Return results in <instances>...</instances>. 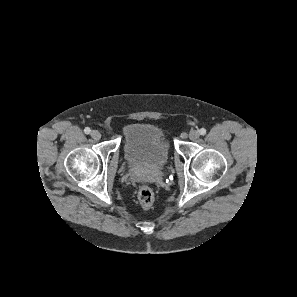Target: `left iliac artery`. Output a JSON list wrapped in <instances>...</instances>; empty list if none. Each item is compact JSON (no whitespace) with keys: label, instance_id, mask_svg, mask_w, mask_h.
I'll return each instance as SVG.
<instances>
[{"label":"left iliac artery","instance_id":"obj_1","mask_svg":"<svg viewBox=\"0 0 297 297\" xmlns=\"http://www.w3.org/2000/svg\"><path fill=\"white\" fill-rule=\"evenodd\" d=\"M199 133H200V135H205V134H206V129L201 128V129L199 130Z\"/></svg>","mask_w":297,"mask_h":297}]
</instances>
